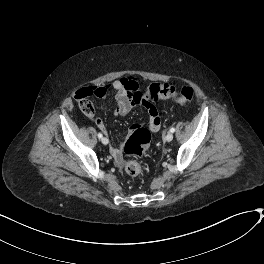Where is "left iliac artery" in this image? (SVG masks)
I'll return each mask as SVG.
<instances>
[{"label": "left iliac artery", "instance_id": "44dca946", "mask_svg": "<svg viewBox=\"0 0 264 264\" xmlns=\"http://www.w3.org/2000/svg\"><path fill=\"white\" fill-rule=\"evenodd\" d=\"M170 132H175V128L174 127H172L171 129H170Z\"/></svg>", "mask_w": 264, "mask_h": 264}]
</instances>
